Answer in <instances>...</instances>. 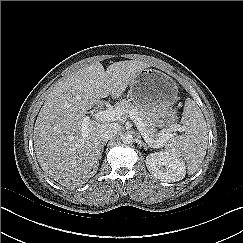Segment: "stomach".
Returning a JSON list of instances; mask_svg holds the SVG:
<instances>
[{"instance_id": "0dacf381", "label": "stomach", "mask_w": 243, "mask_h": 243, "mask_svg": "<svg viewBox=\"0 0 243 243\" xmlns=\"http://www.w3.org/2000/svg\"><path fill=\"white\" fill-rule=\"evenodd\" d=\"M129 95L134 105L151 113L158 128H169L176 119L174 104L178 98L176 83L165 73L143 69L130 84Z\"/></svg>"}]
</instances>
